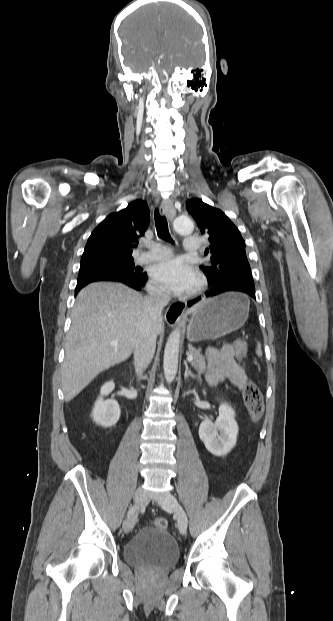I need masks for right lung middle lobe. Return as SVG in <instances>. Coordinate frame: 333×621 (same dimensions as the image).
<instances>
[{
    "instance_id": "1",
    "label": "right lung middle lobe",
    "mask_w": 333,
    "mask_h": 621,
    "mask_svg": "<svg viewBox=\"0 0 333 621\" xmlns=\"http://www.w3.org/2000/svg\"><path fill=\"white\" fill-rule=\"evenodd\" d=\"M99 271L121 275L140 274L141 269L135 267L133 257H96L83 258L79 273Z\"/></svg>"
}]
</instances>
